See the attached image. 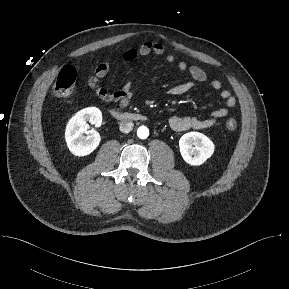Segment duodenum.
Segmentation results:
<instances>
[{"instance_id": "410a0bca", "label": "duodenum", "mask_w": 289, "mask_h": 289, "mask_svg": "<svg viewBox=\"0 0 289 289\" xmlns=\"http://www.w3.org/2000/svg\"><path fill=\"white\" fill-rule=\"evenodd\" d=\"M110 113L112 116L120 120H144L145 119V117L141 114L121 112L117 109H112Z\"/></svg>"}]
</instances>
